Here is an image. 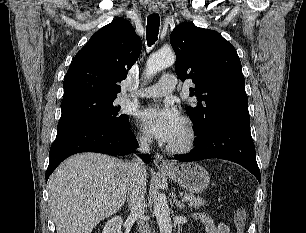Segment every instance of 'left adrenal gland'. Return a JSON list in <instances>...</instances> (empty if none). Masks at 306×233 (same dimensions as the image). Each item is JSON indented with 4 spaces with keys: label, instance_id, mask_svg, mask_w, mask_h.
Here are the masks:
<instances>
[{
    "label": "left adrenal gland",
    "instance_id": "1",
    "mask_svg": "<svg viewBox=\"0 0 306 233\" xmlns=\"http://www.w3.org/2000/svg\"><path fill=\"white\" fill-rule=\"evenodd\" d=\"M173 202L175 203L177 208H179L180 210L184 208V204L181 203L180 201L176 200V195L175 194H173Z\"/></svg>",
    "mask_w": 306,
    "mask_h": 233
}]
</instances>
